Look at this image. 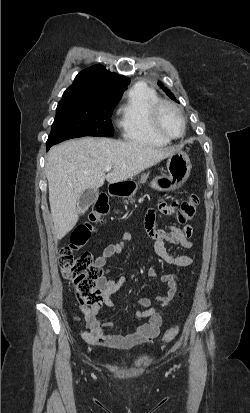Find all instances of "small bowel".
<instances>
[{
  "label": "small bowel",
  "instance_id": "1",
  "mask_svg": "<svg viewBox=\"0 0 250 413\" xmlns=\"http://www.w3.org/2000/svg\"><path fill=\"white\" fill-rule=\"evenodd\" d=\"M179 202V198H176L172 205H166L163 201H160L159 209L164 214L176 213L175 208ZM154 219V210L151 209L145 218L146 236L154 239L156 254L167 264L173 265L175 272L158 276L156 269L151 266L147 270V275L151 278H158L160 282L167 286V291L164 295L157 296L154 300L149 298H140L138 300V305L142 310L135 312L134 317L136 319H148V321L129 331L117 328L111 321L101 322L98 318L100 306L91 308L82 306L83 324L87 330H81L80 336L92 347L103 346L109 349L126 351L139 345L151 343L158 336L162 324V317L157 306L166 307L175 298L182 296V293L177 288V274L181 268L192 265L195 259L184 254L171 255L167 251L165 243L168 242L182 249L193 248L195 246L192 240L194 228L191 225H186L183 228L168 225L163 229H156ZM129 239L130 236L125 234L119 242L107 245L96 258V265L104 272L106 263L122 251L124 243ZM124 282L125 277L123 276L114 281L102 275L98 281L102 291V304L110 309H115L116 305L112 301L111 296L120 289ZM106 330H111L113 333L108 334Z\"/></svg>",
  "mask_w": 250,
  "mask_h": 413
}]
</instances>
